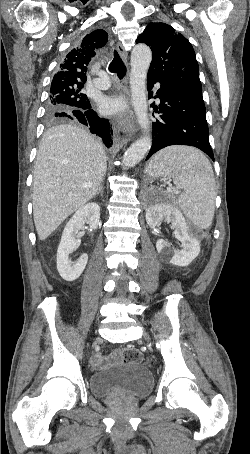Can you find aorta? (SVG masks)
<instances>
[{"instance_id": "obj_1", "label": "aorta", "mask_w": 250, "mask_h": 454, "mask_svg": "<svg viewBox=\"0 0 250 454\" xmlns=\"http://www.w3.org/2000/svg\"><path fill=\"white\" fill-rule=\"evenodd\" d=\"M152 61L151 49L145 44L136 45L131 52V103L143 136L125 152L122 164L129 168L139 163L149 152L152 145L151 126L148 118L146 78Z\"/></svg>"}]
</instances>
